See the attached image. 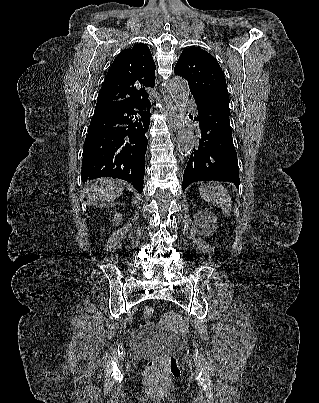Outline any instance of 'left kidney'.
I'll return each instance as SVG.
<instances>
[{
    "instance_id": "1",
    "label": "left kidney",
    "mask_w": 319,
    "mask_h": 403,
    "mask_svg": "<svg viewBox=\"0 0 319 403\" xmlns=\"http://www.w3.org/2000/svg\"><path fill=\"white\" fill-rule=\"evenodd\" d=\"M198 216L204 222H207L208 220H212L213 222H216V218L214 217V215L211 212H208L207 210L198 212Z\"/></svg>"
}]
</instances>
